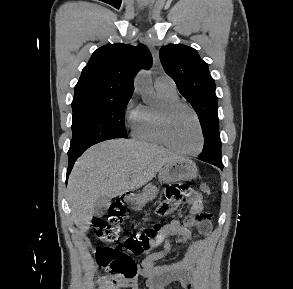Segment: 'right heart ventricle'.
<instances>
[{
	"instance_id": "right-heart-ventricle-1",
	"label": "right heart ventricle",
	"mask_w": 293,
	"mask_h": 289,
	"mask_svg": "<svg viewBox=\"0 0 293 289\" xmlns=\"http://www.w3.org/2000/svg\"><path fill=\"white\" fill-rule=\"evenodd\" d=\"M160 99V105L155 106H141L133 116V135L135 138L155 145L164 144L158 125V110L164 103L178 101L179 97L175 90L156 89Z\"/></svg>"
}]
</instances>
